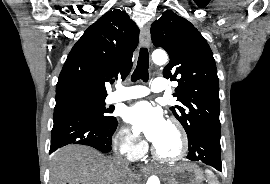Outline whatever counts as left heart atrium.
Returning a JSON list of instances; mask_svg holds the SVG:
<instances>
[{"instance_id": "obj_1", "label": "left heart atrium", "mask_w": 270, "mask_h": 184, "mask_svg": "<svg viewBox=\"0 0 270 184\" xmlns=\"http://www.w3.org/2000/svg\"><path fill=\"white\" fill-rule=\"evenodd\" d=\"M125 119L135 134L144 136L153 144L160 141L168 126L162 112L145 101L128 108Z\"/></svg>"}]
</instances>
